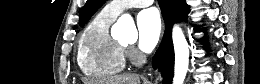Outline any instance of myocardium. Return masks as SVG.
Wrapping results in <instances>:
<instances>
[{"mask_svg": "<svg viewBox=\"0 0 260 84\" xmlns=\"http://www.w3.org/2000/svg\"><path fill=\"white\" fill-rule=\"evenodd\" d=\"M120 46L125 50V46L124 45L120 44Z\"/></svg>", "mask_w": 260, "mask_h": 84, "instance_id": "obj_1", "label": "myocardium"}]
</instances>
